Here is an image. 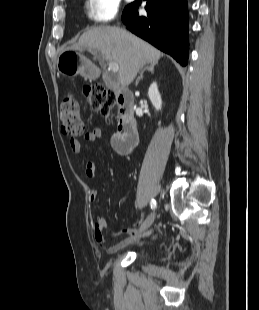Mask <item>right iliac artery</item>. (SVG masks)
Instances as JSON below:
<instances>
[{
  "instance_id": "right-iliac-artery-1",
  "label": "right iliac artery",
  "mask_w": 259,
  "mask_h": 310,
  "mask_svg": "<svg viewBox=\"0 0 259 310\" xmlns=\"http://www.w3.org/2000/svg\"><path fill=\"white\" fill-rule=\"evenodd\" d=\"M150 206H151L152 209H155V208H156V201H155L154 199H152V200L150 201Z\"/></svg>"
}]
</instances>
